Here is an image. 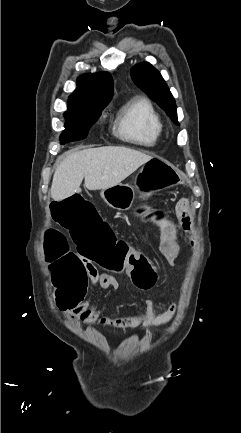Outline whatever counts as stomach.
<instances>
[{
    "instance_id": "obj_1",
    "label": "stomach",
    "mask_w": 241,
    "mask_h": 433,
    "mask_svg": "<svg viewBox=\"0 0 241 433\" xmlns=\"http://www.w3.org/2000/svg\"><path fill=\"white\" fill-rule=\"evenodd\" d=\"M137 188L132 184H118L101 191V197L111 208L119 211L130 210L136 198Z\"/></svg>"
}]
</instances>
